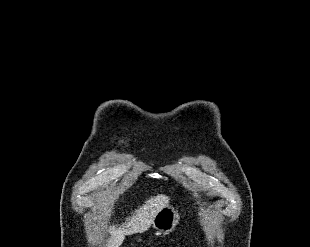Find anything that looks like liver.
<instances>
[{"mask_svg":"<svg viewBox=\"0 0 310 247\" xmlns=\"http://www.w3.org/2000/svg\"><path fill=\"white\" fill-rule=\"evenodd\" d=\"M169 203V197L163 194L151 197L145 204L135 210L131 218H127L122 226H111V235L107 247H119L126 235L142 233L148 230L160 208Z\"/></svg>","mask_w":310,"mask_h":247,"instance_id":"liver-1","label":"liver"}]
</instances>
